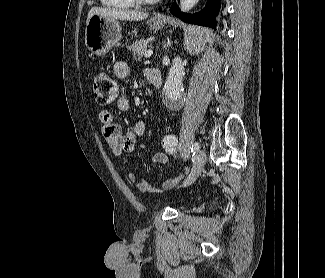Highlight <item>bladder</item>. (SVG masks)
Listing matches in <instances>:
<instances>
[{
    "instance_id": "31cf9c89",
    "label": "bladder",
    "mask_w": 325,
    "mask_h": 278,
    "mask_svg": "<svg viewBox=\"0 0 325 278\" xmlns=\"http://www.w3.org/2000/svg\"><path fill=\"white\" fill-rule=\"evenodd\" d=\"M154 203L158 205V204H160L161 202H160L159 200H155Z\"/></svg>"
}]
</instances>
